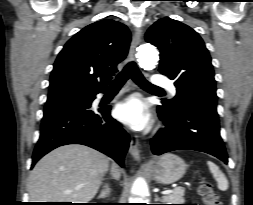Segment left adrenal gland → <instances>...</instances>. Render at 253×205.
<instances>
[{
	"mask_svg": "<svg viewBox=\"0 0 253 205\" xmlns=\"http://www.w3.org/2000/svg\"><path fill=\"white\" fill-rule=\"evenodd\" d=\"M155 201H162L159 197H158V195L157 194H155V199H154Z\"/></svg>",
	"mask_w": 253,
	"mask_h": 205,
	"instance_id": "a2214340",
	"label": "left adrenal gland"
}]
</instances>
